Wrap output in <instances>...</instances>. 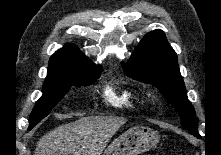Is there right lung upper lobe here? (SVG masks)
Wrapping results in <instances>:
<instances>
[{
	"mask_svg": "<svg viewBox=\"0 0 221 155\" xmlns=\"http://www.w3.org/2000/svg\"><path fill=\"white\" fill-rule=\"evenodd\" d=\"M77 69H94V64L71 44L57 51L49 60L48 73H64Z\"/></svg>",
	"mask_w": 221,
	"mask_h": 155,
	"instance_id": "right-lung-upper-lobe-1",
	"label": "right lung upper lobe"
}]
</instances>
